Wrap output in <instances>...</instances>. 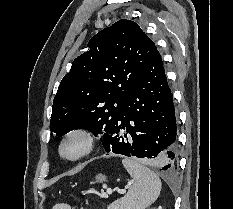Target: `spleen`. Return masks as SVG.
I'll return each instance as SVG.
<instances>
[{
  "label": "spleen",
  "instance_id": "obj_1",
  "mask_svg": "<svg viewBox=\"0 0 233 209\" xmlns=\"http://www.w3.org/2000/svg\"><path fill=\"white\" fill-rule=\"evenodd\" d=\"M123 166L134 183L127 194L108 206V209H145L156 201L161 191L159 177L135 159L124 158ZM53 209H70L66 204H57Z\"/></svg>",
  "mask_w": 233,
  "mask_h": 209
}]
</instances>
